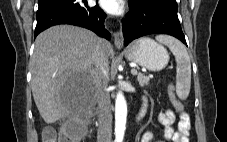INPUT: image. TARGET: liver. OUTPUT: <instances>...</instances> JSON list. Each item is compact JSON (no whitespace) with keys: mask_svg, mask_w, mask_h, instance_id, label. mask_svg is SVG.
Listing matches in <instances>:
<instances>
[{"mask_svg":"<svg viewBox=\"0 0 227 142\" xmlns=\"http://www.w3.org/2000/svg\"><path fill=\"white\" fill-rule=\"evenodd\" d=\"M97 44L107 56L111 54L109 42L76 26H54L37 36L30 63L31 88L47 124L70 115L72 95L82 83H94L92 56Z\"/></svg>","mask_w":227,"mask_h":142,"instance_id":"obj_1","label":"liver"}]
</instances>
